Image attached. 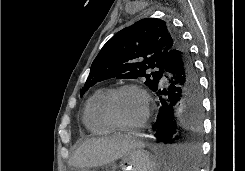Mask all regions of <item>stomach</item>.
I'll return each mask as SVG.
<instances>
[{
  "instance_id": "obj_1",
  "label": "stomach",
  "mask_w": 245,
  "mask_h": 171,
  "mask_svg": "<svg viewBox=\"0 0 245 171\" xmlns=\"http://www.w3.org/2000/svg\"><path fill=\"white\" fill-rule=\"evenodd\" d=\"M122 171H158L159 163L155 156L144 147L130 150L119 166ZM70 171H90L86 168H71Z\"/></svg>"
}]
</instances>
